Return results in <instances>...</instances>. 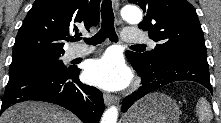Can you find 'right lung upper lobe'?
Listing matches in <instances>:
<instances>
[{
    "label": "right lung upper lobe",
    "instance_id": "obj_1",
    "mask_svg": "<svg viewBox=\"0 0 221 123\" xmlns=\"http://www.w3.org/2000/svg\"><path fill=\"white\" fill-rule=\"evenodd\" d=\"M100 0H36L20 27L13 54L30 51L64 52L66 41L99 23Z\"/></svg>",
    "mask_w": 221,
    "mask_h": 123
}]
</instances>
